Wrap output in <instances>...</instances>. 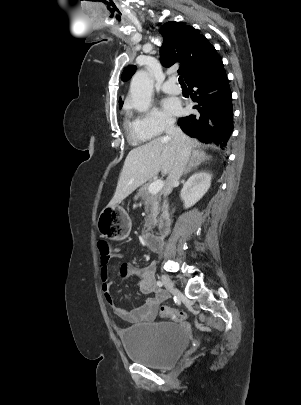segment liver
<instances>
[{
  "label": "liver",
  "mask_w": 301,
  "mask_h": 405,
  "mask_svg": "<svg viewBox=\"0 0 301 405\" xmlns=\"http://www.w3.org/2000/svg\"><path fill=\"white\" fill-rule=\"evenodd\" d=\"M190 149L201 144L188 136ZM176 158V143L173 138L164 136L155 138L147 144L132 149L124 162L117 188L108 206L121 203L139 186L152 179L160 171L169 174Z\"/></svg>",
  "instance_id": "obj_1"
}]
</instances>
